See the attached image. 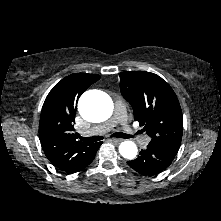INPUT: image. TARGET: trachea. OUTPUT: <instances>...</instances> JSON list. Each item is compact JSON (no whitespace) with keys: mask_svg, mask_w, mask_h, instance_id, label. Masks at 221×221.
Segmentation results:
<instances>
[{"mask_svg":"<svg viewBox=\"0 0 221 221\" xmlns=\"http://www.w3.org/2000/svg\"><path fill=\"white\" fill-rule=\"evenodd\" d=\"M111 137H118V138H132L131 135L125 134V133H114L111 135ZM104 137L103 136H92V137H80L81 140L86 141V142H97L102 140Z\"/></svg>","mask_w":221,"mask_h":221,"instance_id":"obj_1","label":"trachea"}]
</instances>
